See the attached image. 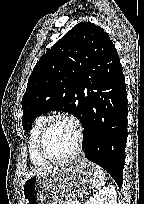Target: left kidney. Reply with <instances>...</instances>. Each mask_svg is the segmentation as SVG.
Here are the masks:
<instances>
[{
    "instance_id": "1",
    "label": "left kidney",
    "mask_w": 144,
    "mask_h": 204,
    "mask_svg": "<svg viewBox=\"0 0 144 204\" xmlns=\"http://www.w3.org/2000/svg\"><path fill=\"white\" fill-rule=\"evenodd\" d=\"M116 189L113 185H108L91 197L86 204H117Z\"/></svg>"
}]
</instances>
